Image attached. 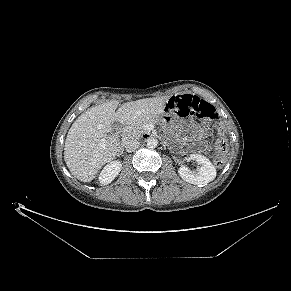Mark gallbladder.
I'll return each instance as SVG.
<instances>
[{
  "label": "gallbladder",
  "mask_w": 291,
  "mask_h": 291,
  "mask_svg": "<svg viewBox=\"0 0 291 291\" xmlns=\"http://www.w3.org/2000/svg\"><path fill=\"white\" fill-rule=\"evenodd\" d=\"M115 134V128H113V130L111 131L110 135H114Z\"/></svg>",
  "instance_id": "gallbladder-1"
}]
</instances>
